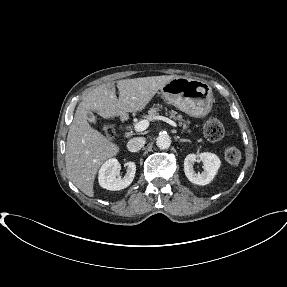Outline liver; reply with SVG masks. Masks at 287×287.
I'll list each match as a JSON object with an SVG mask.
<instances>
[{"label": "liver", "mask_w": 287, "mask_h": 287, "mask_svg": "<svg viewBox=\"0 0 287 287\" xmlns=\"http://www.w3.org/2000/svg\"><path fill=\"white\" fill-rule=\"evenodd\" d=\"M177 78L175 75L123 79L102 84L91 90L80 102L67 135L65 163L68 178L89 197L94 196V180L102 163L115 156L119 147L90 126L88 111L108 119L127 112L142 111L158 91Z\"/></svg>", "instance_id": "6515ba94"}]
</instances>
